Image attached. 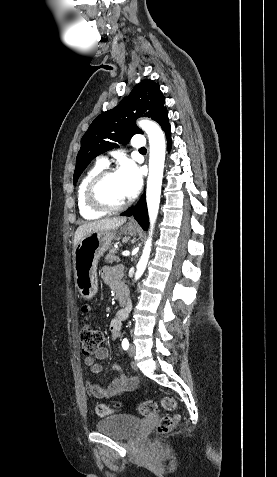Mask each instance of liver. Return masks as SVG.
<instances>
[{"mask_svg": "<svg viewBox=\"0 0 277 477\" xmlns=\"http://www.w3.org/2000/svg\"><path fill=\"white\" fill-rule=\"evenodd\" d=\"M126 220V217H113L80 225L75 232L74 246L76 247L84 236L93 232L117 230Z\"/></svg>", "mask_w": 277, "mask_h": 477, "instance_id": "6515ba94", "label": "liver"}]
</instances>
